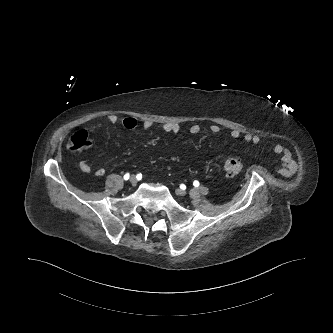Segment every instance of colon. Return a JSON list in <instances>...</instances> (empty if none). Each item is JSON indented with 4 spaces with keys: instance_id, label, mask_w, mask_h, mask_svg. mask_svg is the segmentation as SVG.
Returning a JSON list of instances; mask_svg holds the SVG:
<instances>
[{
    "instance_id": "1",
    "label": "colon",
    "mask_w": 333,
    "mask_h": 333,
    "mask_svg": "<svg viewBox=\"0 0 333 333\" xmlns=\"http://www.w3.org/2000/svg\"><path fill=\"white\" fill-rule=\"evenodd\" d=\"M92 145V140L86 130H80L74 133L67 145L68 150L72 152H81ZM223 168L228 176H236L243 169V162L239 157H228L223 163Z\"/></svg>"
}]
</instances>
